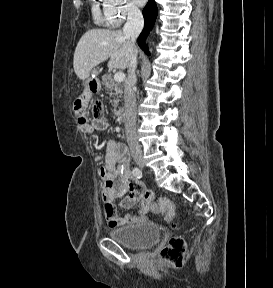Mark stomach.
Segmentation results:
<instances>
[{
  "mask_svg": "<svg viewBox=\"0 0 273 288\" xmlns=\"http://www.w3.org/2000/svg\"><path fill=\"white\" fill-rule=\"evenodd\" d=\"M98 71L94 69L93 73H97ZM86 88L91 93H98L101 89V84L98 78H91L86 82Z\"/></svg>",
  "mask_w": 273,
  "mask_h": 288,
  "instance_id": "1",
  "label": "stomach"
}]
</instances>
